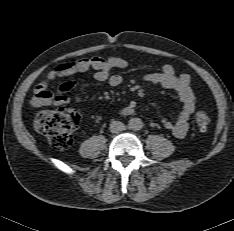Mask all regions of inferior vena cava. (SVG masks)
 <instances>
[{"label": "inferior vena cava", "instance_id": "obj_1", "mask_svg": "<svg viewBox=\"0 0 234 231\" xmlns=\"http://www.w3.org/2000/svg\"><path fill=\"white\" fill-rule=\"evenodd\" d=\"M125 129V125L120 121H113L110 124V131L112 133H120Z\"/></svg>", "mask_w": 234, "mask_h": 231}]
</instances>
